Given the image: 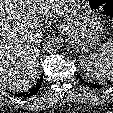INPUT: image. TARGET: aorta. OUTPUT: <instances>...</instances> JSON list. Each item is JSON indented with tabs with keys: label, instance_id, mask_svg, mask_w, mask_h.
I'll list each match as a JSON object with an SVG mask.
<instances>
[{
	"label": "aorta",
	"instance_id": "aorta-1",
	"mask_svg": "<svg viewBox=\"0 0 113 113\" xmlns=\"http://www.w3.org/2000/svg\"><path fill=\"white\" fill-rule=\"evenodd\" d=\"M45 51L48 53H56L61 47V40L55 36H49L43 44Z\"/></svg>",
	"mask_w": 113,
	"mask_h": 113
}]
</instances>
